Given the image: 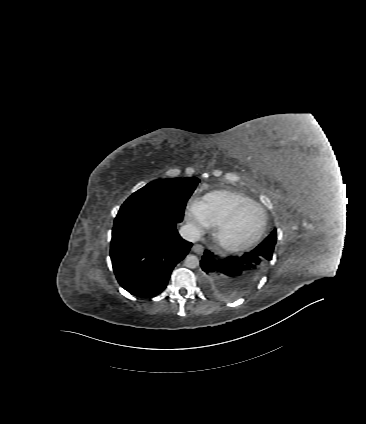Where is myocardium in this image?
Masks as SVG:
<instances>
[{"instance_id": "1", "label": "myocardium", "mask_w": 366, "mask_h": 424, "mask_svg": "<svg viewBox=\"0 0 366 424\" xmlns=\"http://www.w3.org/2000/svg\"><path fill=\"white\" fill-rule=\"evenodd\" d=\"M254 207L258 209L262 216V223L259 231L256 233L254 237L247 241L243 242H231L225 239L224 235L225 232L236 222L238 217L242 212H244L246 209ZM267 216L263 208L258 205L257 203H246L243 205H240L237 207L230 215H228L224 220H222L220 223H218L214 229H213V240L217 247L220 249L227 251V252H240L244 251L252 246H254L256 243L259 242V240L264 235L266 229H267Z\"/></svg>"}]
</instances>
